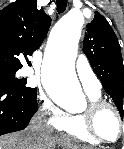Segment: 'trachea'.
Listing matches in <instances>:
<instances>
[{
	"label": "trachea",
	"instance_id": "1",
	"mask_svg": "<svg viewBox=\"0 0 124 149\" xmlns=\"http://www.w3.org/2000/svg\"><path fill=\"white\" fill-rule=\"evenodd\" d=\"M57 11L58 13H63L67 7V0H57Z\"/></svg>",
	"mask_w": 124,
	"mask_h": 149
}]
</instances>
